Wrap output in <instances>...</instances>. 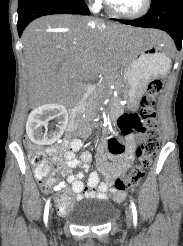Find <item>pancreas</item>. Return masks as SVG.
<instances>
[{
	"label": "pancreas",
	"instance_id": "cf45deb5",
	"mask_svg": "<svg viewBox=\"0 0 183 246\" xmlns=\"http://www.w3.org/2000/svg\"><path fill=\"white\" fill-rule=\"evenodd\" d=\"M101 88H99L98 90H96L89 98V104L88 106L89 107H94L96 106L97 104V97H98V94L100 92Z\"/></svg>",
	"mask_w": 183,
	"mask_h": 246
}]
</instances>
